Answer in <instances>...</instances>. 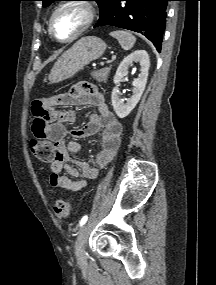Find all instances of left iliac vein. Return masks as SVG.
<instances>
[{
  "instance_id": "left-iliac-vein-1",
  "label": "left iliac vein",
  "mask_w": 216,
  "mask_h": 285,
  "mask_svg": "<svg viewBox=\"0 0 216 285\" xmlns=\"http://www.w3.org/2000/svg\"><path fill=\"white\" fill-rule=\"evenodd\" d=\"M87 232V225H84L77 236L76 240V252L79 259H83L85 257V236Z\"/></svg>"
}]
</instances>
